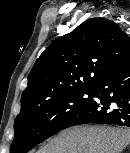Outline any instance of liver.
<instances>
[{"mask_svg": "<svg viewBox=\"0 0 130 153\" xmlns=\"http://www.w3.org/2000/svg\"><path fill=\"white\" fill-rule=\"evenodd\" d=\"M130 143V129L79 125L61 131L37 153H121Z\"/></svg>", "mask_w": 130, "mask_h": 153, "instance_id": "1", "label": "liver"}]
</instances>
